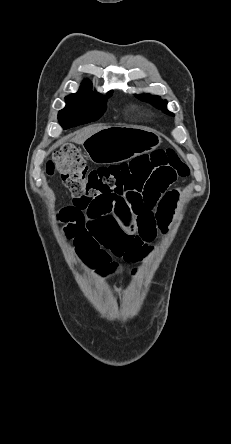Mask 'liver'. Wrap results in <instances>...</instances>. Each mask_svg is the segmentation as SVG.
Returning a JSON list of instances; mask_svg holds the SVG:
<instances>
[{
  "mask_svg": "<svg viewBox=\"0 0 231 444\" xmlns=\"http://www.w3.org/2000/svg\"><path fill=\"white\" fill-rule=\"evenodd\" d=\"M107 127L102 126V125H93V126H88L85 127L79 131H77L74 134V137L72 138V141L75 142L76 144H83V142L90 137L91 135H93L94 133L105 129Z\"/></svg>",
  "mask_w": 231,
  "mask_h": 444,
  "instance_id": "liver-1",
  "label": "liver"
}]
</instances>
